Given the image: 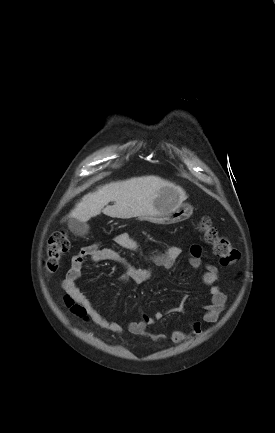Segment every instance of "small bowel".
<instances>
[{"label":"small bowel","instance_id":"obj_1","mask_svg":"<svg viewBox=\"0 0 275 433\" xmlns=\"http://www.w3.org/2000/svg\"><path fill=\"white\" fill-rule=\"evenodd\" d=\"M113 241L118 246L131 250L138 251L139 243L134 239L129 232H120L114 235ZM202 250L199 245L190 247L189 264L194 269H199L202 266L201 260ZM181 255V248L178 245H170L166 247L164 252L149 257V260L156 267L171 268L175 261ZM86 258H90L94 263L112 261L124 267V272L120 276L122 282L126 283L130 280L137 283H144L154 277L153 268H137L133 266L126 257L116 249L99 248L96 244L83 247L76 255L72 257L71 266L67 271L66 277L62 282L64 290L79 304H81L92 317L94 322L100 327L113 332L121 333L122 326L114 321L104 317L90 301V299L81 291L77 285V280L81 275V270ZM205 271L201 276L202 283L209 287L210 303L204 309L205 313L202 317L204 323L213 324L218 321L223 312L227 300L226 294L218 287L219 271L213 264L207 263L204 265ZM165 316V312L157 311L152 315L144 314L139 321H131L127 328L134 335L147 337L153 342L160 343L165 339L162 333L150 331L149 327L161 320ZM202 324L200 321H193L189 325V332L185 333L181 330H174L170 334V339L174 343H180L185 340L196 337L202 333Z\"/></svg>","mask_w":275,"mask_h":433}]
</instances>
